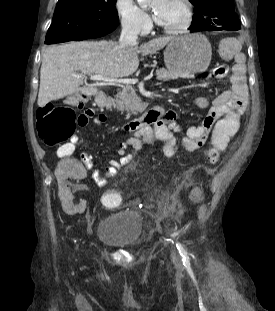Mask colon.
Listing matches in <instances>:
<instances>
[{
	"label": "colon",
	"instance_id": "1",
	"mask_svg": "<svg viewBox=\"0 0 275 311\" xmlns=\"http://www.w3.org/2000/svg\"><path fill=\"white\" fill-rule=\"evenodd\" d=\"M228 68L220 64L215 69V75L219 77L226 76ZM74 101L83 100L82 95H74ZM37 132L40 140L47 146H61L59 149L61 155H71L74 151L72 143L67 141L73 135L76 126H85L90 121L86 112L76 114L68 106H54L52 104L40 108L36 113ZM243 125L240 118H218L216 123V132L213 139V146L207 151L206 159L210 163L218 161L222 151H224L230 138L235 134L234 130H242ZM103 203L109 207L118 205L119 196L115 190H105Z\"/></svg>",
	"mask_w": 275,
	"mask_h": 311
}]
</instances>
